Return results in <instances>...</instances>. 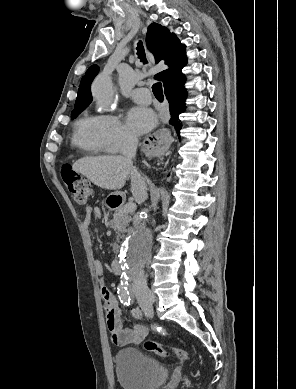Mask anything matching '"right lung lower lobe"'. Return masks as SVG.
Wrapping results in <instances>:
<instances>
[{"label": "right lung lower lobe", "instance_id": "obj_1", "mask_svg": "<svg viewBox=\"0 0 296 389\" xmlns=\"http://www.w3.org/2000/svg\"><path fill=\"white\" fill-rule=\"evenodd\" d=\"M184 83V77H175L164 85V93L169 102L171 114V119L169 123L174 126L179 138L182 126L179 120V114L185 111V100L187 96L186 89L184 88Z\"/></svg>", "mask_w": 296, "mask_h": 389}]
</instances>
